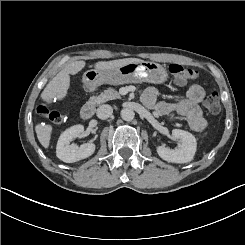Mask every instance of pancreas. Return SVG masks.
<instances>
[{
    "mask_svg": "<svg viewBox=\"0 0 245 245\" xmlns=\"http://www.w3.org/2000/svg\"><path fill=\"white\" fill-rule=\"evenodd\" d=\"M120 98H121V95L119 94V92H117L113 88H108L107 90H104L101 94H99L98 96H91L87 104L97 106L109 100L120 99Z\"/></svg>",
    "mask_w": 245,
    "mask_h": 245,
    "instance_id": "1",
    "label": "pancreas"
}]
</instances>
